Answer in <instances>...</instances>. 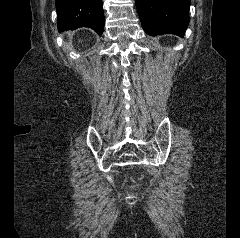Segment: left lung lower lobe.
I'll return each instance as SVG.
<instances>
[{
    "mask_svg": "<svg viewBox=\"0 0 240 238\" xmlns=\"http://www.w3.org/2000/svg\"><path fill=\"white\" fill-rule=\"evenodd\" d=\"M144 31L150 35L184 37L189 23L190 0H135Z\"/></svg>",
    "mask_w": 240,
    "mask_h": 238,
    "instance_id": "obj_1",
    "label": "left lung lower lobe"
}]
</instances>
